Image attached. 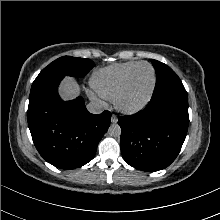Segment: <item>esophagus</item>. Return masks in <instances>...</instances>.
<instances>
[{
  "instance_id": "1",
  "label": "esophagus",
  "mask_w": 220,
  "mask_h": 220,
  "mask_svg": "<svg viewBox=\"0 0 220 220\" xmlns=\"http://www.w3.org/2000/svg\"><path fill=\"white\" fill-rule=\"evenodd\" d=\"M111 122H112V123H117V122H118V118L116 117V115L113 114V115L111 116Z\"/></svg>"
}]
</instances>
